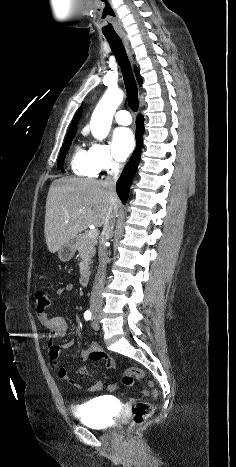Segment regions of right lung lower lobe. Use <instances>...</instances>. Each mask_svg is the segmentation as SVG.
I'll return each mask as SVG.
<instances>
[{
    "label": "right lung lower lobe",
    "mask_w": 236,
    "mask_h": 467,
    "mask_svg": "<svg viewBox=\"0 0 236 467\" xmlns=\"http://www.w3.org/2000/svg\"><path fill=\"white\" fill-rule=\"evenodd\" d=\"M143 132V116L138 115L136 120V149L116 183L117 194L123 204L126 203V200L128 198L129 187L140 161Z\"/></svg>",
    "instance_id": "98d812e1"
}]
</instances>
